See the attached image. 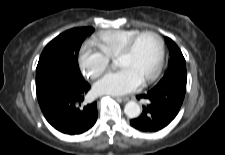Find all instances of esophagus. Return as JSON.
I'll return each mask as SVG.
<instances>
[{
  "label": "esophagus",
  "mask_w": 225,
  "mask_h": 155,
  "mask_svg": "<svg viewBox=\"0 0 225 155\" xmlns=\"http://www.w3.org/2000/svg\"><path fill=\"white\" fill-rule=\"evenodd\" d=\"M116 99L126 102V101H129L130 99H133V97L132 96H124V97H117Z\"/></svg>",
  "instance_id": "esophagus-1"
}]
</instances>
